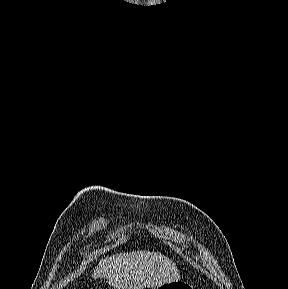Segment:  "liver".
Here are the masks:
<instances>
[{"mask_svg": "<svg viewBox=\"0 0 288 289\" xmlns=\"http://www.w3.org/2000/svg\"><path fill=\"white\" fill-rule=\"evenodd\" d=\"M176 264L149 251L120 253L102 260L94 269L92 278H106L116 289L153 288L179 280Z\"/></svg>", "mask_w": 288, "mask_h": 289, "instance_id": "liver-1", "label": "liver"}]
</instances>
